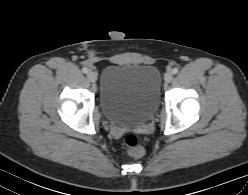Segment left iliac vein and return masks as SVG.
<instances>
[{
  "instance_id": "obj_1",
  "label": "left iliac vein",
  "mask_w": 248,
  "mask_h": 195,
  "mask_svg": "<svg viewBox=\"0 0 248 195\" xmlns=\"http://www.w3.org/2000/svg\"><path fill=\"white\" fill-rule=\"evenodd\" d=\"M172 79H173V73L170 72V71L167 72V73L165 74V76H164L165 82L170 83V82L172 81Z\"/></svg>"
}]
</instances>
